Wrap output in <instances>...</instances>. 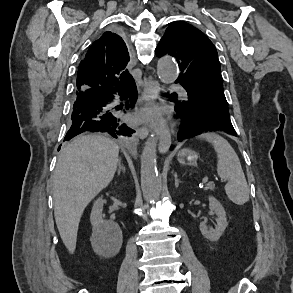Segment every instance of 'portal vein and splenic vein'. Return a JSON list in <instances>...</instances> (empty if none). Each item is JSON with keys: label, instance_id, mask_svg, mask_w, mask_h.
Listing matches in <instances>:
<instances>
[{"label": "portal vein and splenic vein", "instance_id": "portal-vein-and-splenic-vein-1", "mask_svg": "<svg viewBox=\"0 0 293 293\" xmlns=\"http://www.w3.org/2000/svg\"><path fill=\"white\" fill-rule=\"evenodd\" d=\"M208 181V178L203 179V183H206Z\"/></svg>", "mask_w": 293, "mask_h": 293}]
</instances>
